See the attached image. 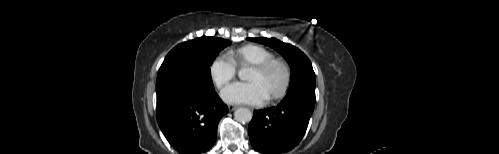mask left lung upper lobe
Returning a JSON list of instances; mask_svg holds the SVG:
<instances>
[{"label": "left lung upper lobe", "instance_id": "5c2ea615", "mask_svg": "<svg viewBox=\"0 0 499 154\" xmlns=\"http://www.w3.org/2000/svg\"><path fill=\"white\" fill-rule=\"evenodd\" d=\"M251 40L274 48L287 60L292 74L289 92L300 88L315 89V73L312 64L301 50L275 38L262 37L251 38Z\"/></svg>", "mask_w": 499, "mask_h": 154}]
</instances>
